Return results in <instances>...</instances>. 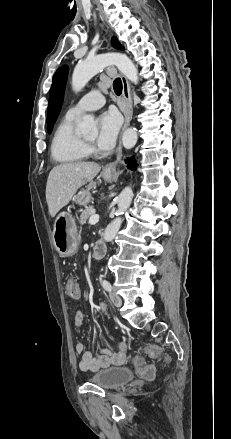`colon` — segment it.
Masks as SVG:
<instances>
[{"instance_id": "obj_1", "label": "colon", "mask_w": 231, "mask_h": 439, "mask_svg": "<svg viewBox=\"0 0 231 439\" xmlns=\"http://www.w3.org/2000/svg\"><path fill=\"white\" fill-rule=\"evenodd\" d=\"M65 290L69 298L81 297V285L73 279H67L65 282ZM144 356L152 359H162L164 362L171 361L170 356L165 354L158 346L150 345L145 347L142 352L132 359V364L137 373L145 380H153L155 377V368L151 364L145 362Z\"/></svg>"}]
</instances>
